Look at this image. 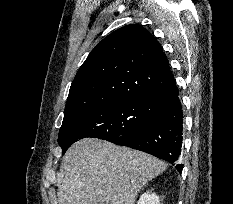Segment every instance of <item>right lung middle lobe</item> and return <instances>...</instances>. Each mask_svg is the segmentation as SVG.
Listing matches in <instances>:
<instances>
[{"label": "right lung middle lobe", "instance_id": "obj_1", "mask_svg": "<svg viewBox=\"0 0 233 204\" xmlns=\"http://www.w3.org/2000/svg\"><path fill=\"white\" fill-rule=\"evenodd\" d=\"M151 101L152 96L119 100L73 119L59 132L62 154L82 138L97 137L111 142L121 135L146 128L158 119Z\"/></svg>", "mask_w": 233, "mask_h": 204}]
</instances>
